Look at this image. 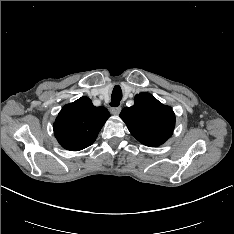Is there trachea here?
Instances as JSON below:
<instances>
[{
  "label": "trachea",
  "mask_w": 234,
  "mask_h": 234,
  "mask_svg": "<svg viewBox=\"0 0 234 234\" xmlns=\"http://www.w3.org/2000/svg\"><path fill=\"white\" fill-rule=\"evenodd\" d=\"M122 99V92L121 90H118L116 88H114L113 92H112V95H111V103H110V106L112 107H117L119 106V103Z\"/></svg>",
  "instance_id": "trachea-1"
}]
</instances>
